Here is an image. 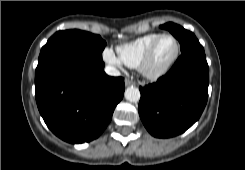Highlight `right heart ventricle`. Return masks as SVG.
I'll use <instances>...</instances> for the list:
<instances>
[{
	"label": "right heart ventricle",
	"instance_id": "right-heart-ventricle-1",
	"mask_svg": "<svg viewBox=\"0 0 245 170\" xmlns=\"http://www.w3.org/2000/svg\"><path fill=\"white\" fill-rule=\"evenodd\" d=\"M159 36V34H147L132 41L119 45L116 48L119 59L128 67L137 68L140 60L149 45Z\"/></svg>",
	"mask_w": 245,
	"mask_h": 170
}]
</instances>
